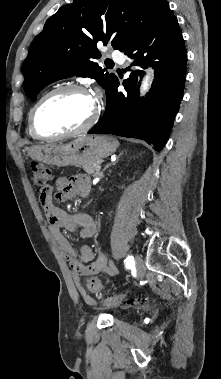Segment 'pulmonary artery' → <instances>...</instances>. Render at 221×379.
I'll use <instances>...</instances> for the list:
<instances>
[{"label": "pulmonary artery", "mask_w": 221, "mask_h": 379, "mask_svg": "<svg viewBox=\"0 0 221 379\" xmlns=\"http://www.w3.org/2000/svg\"><path fill=\"white\" fill-rule=\"evenodd\" d=\"M111 57L113 60H115L116 62H118L121 65H123L125 62V56L118 51L112 52Z\"/></svg>", "instance_id": "obj_1"}]
</instances>
